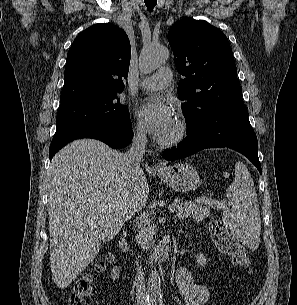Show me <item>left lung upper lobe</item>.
<instances>
[{
	"label": "left lung upper lobe",
	"instance_id": "obj_1",
	"mask_svg": "<svg viewBox=\"0 0 297 305\" xmlns=\"http://www.w3.org/2000/svg\"><path fill=\"white\" fill-rule=\"evenodd\" d=\"M168 41L175 65L186 78L177 93L186 122L192 124L212 109L242 99L237 69L227 37L204 20L182 19L173 24Z\"/></svg>",
	"mask_w": 297,
	"mask_h": 305
}]
</instances>
